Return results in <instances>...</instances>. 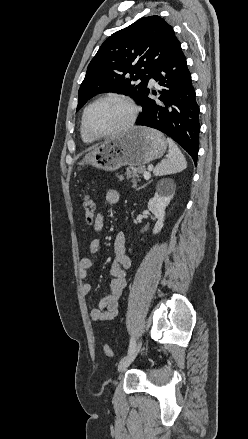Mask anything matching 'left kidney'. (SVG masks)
I'll return each mask as SVG.
<instances>
[{
	"instance_id": "1",
	"label": "left kidney",
	"mask_w": 248,
	"mask_h": 439,
	"mask_svg": "<svg viewBox=\"0 0 248 439\" xmlns=\"http://www.w3.org/2000/svg\"><path fill=\"white\" fill-rule=\"evenodd\" d=\"M174 196V187L170 185L164 186V181L157 184L156 192L153 198L148 202V209L157 218V222L153 229V234H158L164 226L165 209L169 205Z\"/></svg>"
}]
</instances>
